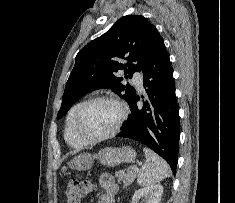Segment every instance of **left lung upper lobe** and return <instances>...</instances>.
I'll return each instance as SVG.
<instances>
[{
	"label": "left lung upper lobe",
	"instance_id": "left-lung-upper-lobe-1",
	"mask_svg": "<svg viewBox=\"0 0 235 203\" xmlns=\"http://www.w3.org/2000/svg\"><path fill=\"white\" fill-rule=\"evenodd\" d=\"M160 39L156 27L143 16L126 15L119 19L77 54L57 118L82 96L101 88H111L129 104L136 91L128 84L124 86L117 73L124 71L125 78H131L135 71H141Z\"/></svg>",
	"mask_w": 235,
	"mask_h": 203
}]
</instances>
